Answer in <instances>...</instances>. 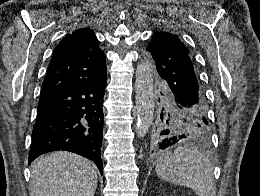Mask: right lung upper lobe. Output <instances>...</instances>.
<instances>
[{
	"instance_id": "1",
	"label": "right lung upper lobe",
	"mask_w": 260,
	"mask_h": 196,
	"mask_svg": "<svg viewBox=\"0 0 260 196\" xmlns=\"http://www.w3.org/2000/svg\"><path fill=\"white\" fill-rule=\"evenodd\" d=\"M105 54L91 29L67 34L54 49L40 98L106 76Z\"/></svg>"
}]
</instances>
